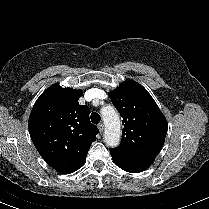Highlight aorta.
Here are the masks:
<instances>
[{
    "label": "aorta",
    "instance_id": "obj_1",
    "mask_svg": "<svg viewBox=\"0 0 209 209\" xmlns=\"http://www.w3.org/2000/svg\"><path fill=\"white\" fill-rule=\"evenodd\" d=\"M101 115L105 124L104 141L109 147H117L121 138L120 117L112 106L103 107Z\"/></svg>",
    "mask_w": 209,
    "mask_h": 209
}]
</instances>
